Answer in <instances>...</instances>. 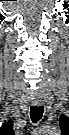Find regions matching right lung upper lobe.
I'll use <instances>...</instances> for the list:
<instances>
[{
    "label": "right lung upper lobe",
    "mask_w": 69,
    "mask_h": 135,
    "mask_svg": "<svg viewBox=\"0 0 69 135\" xmlns=\"http://www.w3.org/2000/svg\"><path fill=\"white\" fill-rule=\"evenodd\" d=\"M3 128H4V129H9L10 131H12V128H13L12 121L9 120L8 122H6V123L3 125Z\"/></svg>",
    "instance_id": "obj_1"
}]
</instances>
